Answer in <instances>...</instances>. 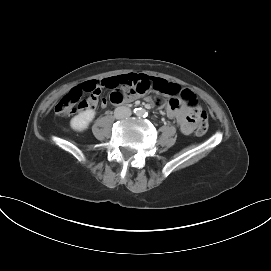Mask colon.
Here are the masks:
<instances>
[{"mask_svg": "<svg viewBox=\"0 0 271 271\" xmlns=\"http://www.w3.org/2000/svg\"><path fill=\"white\" fill-rule=\"evenodd\" d=\"M89 94V97L97 93L94 85L89 84L85 89L77 86L64 95L55 106V112L60 115H70L77 110H81L87 106V99H83V94ZM184 101L190 106H196V98L188 93H182ZM196 134L203 135L208 129L207 115L204 111H199L195 115Z\"/></svg>", "mask_w": 271, "mask_h": 271, "instance_id": "1", "label": "colon"}]
</instances>
